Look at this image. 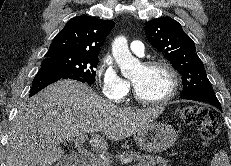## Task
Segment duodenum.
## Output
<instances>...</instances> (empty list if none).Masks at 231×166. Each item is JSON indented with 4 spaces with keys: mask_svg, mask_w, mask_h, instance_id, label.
<instances>
[{
    "mask_svg": "<svg viewBox=\"0 0 231 166\" xmlns=\"http://www.w3.org/2000/svg\"><path fill=\"white\" fill-rule=\"evenodd\" d=\"M61 164L62 166H85V159L78 155H68Z\"/></svg>",
    "mask_w": 231,
    "mask_h": 166,
    "instance_id": "obj_1",
    "label": "duodenum"
}]
</instances>
